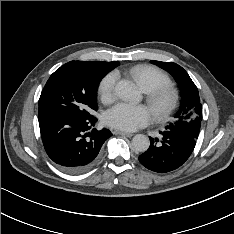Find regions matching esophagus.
<instances>
[{"mask_svg": "<svg viewBox=\"0 0 234 234\" xmlns=\"http://www.w3.org/2000/svg\"><path fill=\"white\" fill-rule=\"evenodd\" d=\"M114 133L118 134V135L126 136V137H132L133 136L132 133L123 132V131H114Z\"/></svg>", "mask_w": 234, "mask_h": 234, "instance_id": "1", "label": "esophagus"}]
</instances>
